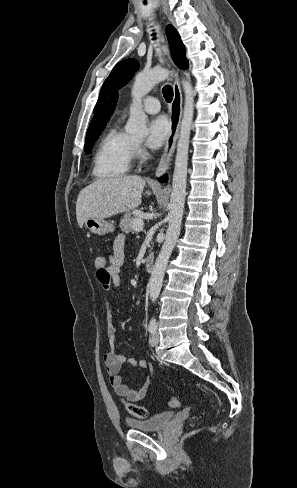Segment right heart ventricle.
Wrapping results in <instances>:
<instances>
[{"mask_svg": "<svg viewBox=\"0 0 297 488\" xmlns=\"http://www.w3.org/2000/svg\"><path fill=\"white\" fill-rule=\"evenodd\" d=\"M133 142L113 126L99 141L93 158V175L99 179H116L126 174L133 158Z\"/></svg>", "mask_w": 297, "mask_h": 488, "instance_id": "1", "label": "right heart ventricle"}]
</instances>
